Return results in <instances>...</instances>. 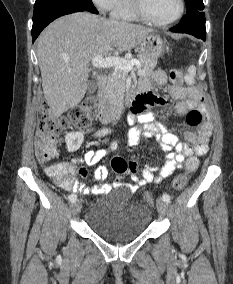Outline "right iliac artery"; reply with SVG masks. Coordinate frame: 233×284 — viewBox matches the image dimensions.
Listing matches in <instances>:
<instances>
[{
	"instance_id": "right-iliac-artery-1",
	"label": "right iliac artery",
	"mask_w": 233,
	"mask_h": 284,
	"mask_svg": "<svg viewBox=\"0 0 233 284\" xmlns=\"http://www.w3.org/2000/svg\"><path fill=\"white\" fill-rule=\"evenodd\" d=\"M109 132H110L109 129H101V130L97 131V132L95 133V135H96L97 137H99V136H104V135L108 134ZM76 199H77V196H76V194H74V193H72V194H70V195L68 196V200H69L70 202H74Z\"/></svg>"
}]
</instances>
